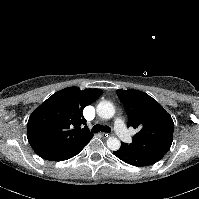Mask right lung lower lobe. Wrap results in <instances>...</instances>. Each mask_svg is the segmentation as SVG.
I'll list each match as a JSON object with an SVG mask.
<instances>
[{"label":"right lung lower lobe","instance_id":"1","mask_svg":"<svg viewBox=\"0 0 199 199\" xmlns=\"http://www.w3.org/2000/svg\"><path fill=\"white\" fill-rule=\"evenodd\" d=\"M93 136L86 138L70 147H67L63 150L57 151V152H52V153H44V154H39L40 157L46 160L50 161H63L70 159L77 154H79L84 146L91 140Z\"/></svg>","mask_w":199,"mask_h":199}]
</instances>
